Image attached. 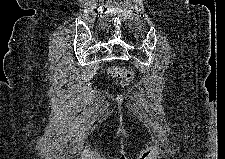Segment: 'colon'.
I'll return each instance as SVG.
<instances>
[{
	"label": "colon",
	"instance_id": "5ec220e1",
	"mask_svg": "<svg viewBox=\"0 0 225 159\" xmlns=\"http://www.w3.org/2000/svg\"><path fill=\"white\" fill-rule=\"evenodd\" d=\"M108 76L114 79H120L124 84L130 83L133 79L132 72L119 65H113L109 67Z\"/></svg>",
	"mask_w": 225,
	"mask_h": 159
}]
</instances>
